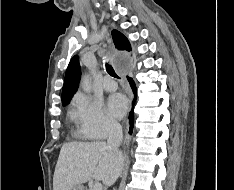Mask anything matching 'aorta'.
<instances>
[{
  "instance_id": "obj_1",
  "label": "aorta",
  "mask_w": 234,
  "mask_h": 190,
  "mask_svg": "<svg viewBox=\"0 0 234 190\" xmlns=\"http://www.w3.org/2000/svg\"><path fill=\"white\" fill-rule=\"evenodd\" d=\"M81 86H82V88H83V90L85 92L89 93L91 91V83H90V77H89V75H85L82 78Z\"/></svg>"
}]
</instances>
